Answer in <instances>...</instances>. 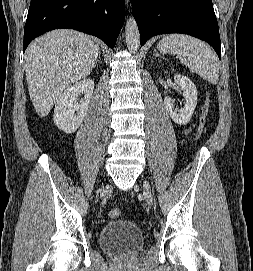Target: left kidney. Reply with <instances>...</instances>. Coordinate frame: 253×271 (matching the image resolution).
<instances>
[{"mask_svg": "<svg viewBox=\"0 0 253 271\" xmlns=\"http://www.w3.org/2000/svg\"><path fill=\"white\" fill-rule=\"evenodd\" d=\"M174 81L185 98L184 107L182 109L175 108L172 98L167 96L164 99L165 108L175 123L186 125L191 120L196 108L198 91L194 83L186 76L176 74L174 75Z\"/></svg>", "mask_w": 253, "mask_h": 271, "instance_id": "1", "label": "left kidney"}]
</instances>
